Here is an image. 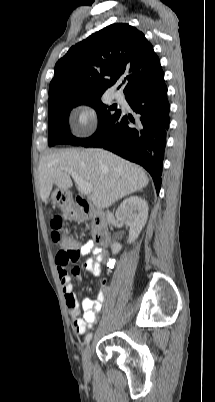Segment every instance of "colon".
<instances>
[{"label": "colon", "instance_id": "5ec220e1", "mask_svg": "<svg viewBox=\"0 0 215 402\" xmlns=\"http://www.w3.org/2000/svg\"><path fill=\"white\" fill-rule=\"evenodd\" d=\"M52 231V239L55 243H60L61 241V251L57 254L56 259L60 262L70 263L73 265L79 258L78 252L75 250L78 249L79 244L78 240L74 238L73 235H63L61 236L59 229L61 228V221L59 218L55 217L51 220ZM75 267H69L70 271Z\"/></svg>", "mask_w": 215, "mask_h": 402}]
</instances>
